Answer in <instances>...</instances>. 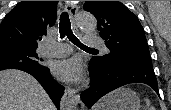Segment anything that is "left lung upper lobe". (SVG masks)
<instances>
[{
    "instance_id": "obj_1",
    "label": "left lung upper lobe",
    "mask_w": 171,
    "mask_h": 110,
    "mask_svg": "<svg viewBox=\"0 0 171 110\" xmlns=\"http://www.w3.org/2000/svg\"><path fill=\"white\" fill-rule=\"evenodd\" d=\"M84 10L97 18V29L108 55L93 57L90 65L116 63L152 66L146 37L138 18L119 1H86Z\"/></svg>"
}]
</instances>
